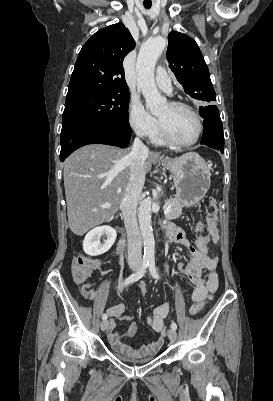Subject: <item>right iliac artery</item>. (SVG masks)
<instances>
[{
  "instance_id": "1",
  "label": "right iliac artery",
  "mask_w": 273,
  "mask_h": 401,
  "mask_svg": "<svg viewBox=\"0 0 273 401\" xmlns=\"http://www.w3.org/2000/svg\"><path fill=\"white\" fill-rule=\"evenodd\" d=\"M148 263H149V259L144 258L140 269L137 272H135L134 274L130 275L128 278H126L125 281L123 282L122 286H127V285L139 280L144 275L146 268L148 266ZM102 319L106 320L107 314H103Z\"/></svg>"
}]
</instances>
